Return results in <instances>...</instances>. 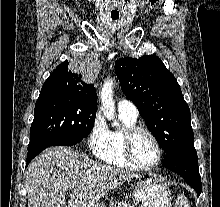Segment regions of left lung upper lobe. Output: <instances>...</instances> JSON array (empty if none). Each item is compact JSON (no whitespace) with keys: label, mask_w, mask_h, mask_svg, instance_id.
<instances>
[{"label":"left lung upper lobe","mask_w":220,"mask_h":207,"mask_svg":"<svg viewBox=\"0 0 220 207\" xmlns=\"http://www.w3.org/2000/svg\"><path fill=\"white\" fill-rule=\"evenodd\" d=\"M115 72L123 93L166 154L194 143L189 107L176 78L159 57L121 58Z\"/></svg>","instance_id":"5c2ea615"}]
</instances>
